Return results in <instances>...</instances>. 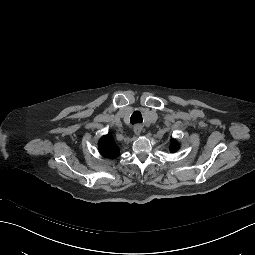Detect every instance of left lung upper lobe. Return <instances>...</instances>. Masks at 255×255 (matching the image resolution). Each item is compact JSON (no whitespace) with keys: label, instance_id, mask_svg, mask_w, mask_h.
<instances>
[{"label":"left lung upper lobe","instance_id":"5c2ea615","mask_svg":"<svg viewBox=\"0 0 255 255\" xmlns=\"http://www.w3.org/2000/svg\"><path fill=\"white\" fill-rule=\"evenodd\" d=\"M178 149H179V145L176 143L175 140H172L170 150H171L172 152H175V151H177Z\"/></svg>","mask_w":255,"mask_h":255}]
</instances>
